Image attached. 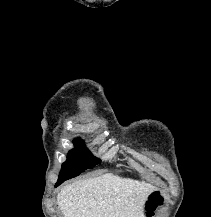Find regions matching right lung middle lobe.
I'll list each match as a JSON object with an SVG mask.
<instances>
[{
	"instance_id": "1",
	"label": "right lung middle lobe",
	"mask_w": 211,
	"mask_h": 217,
	"mask_svg": "<svg viewBox=\"0 0 211 217\" xmlns=\"http://www.w3.org/2000/svg\"><path fill=\"white\" fill-rule=\"evenodd\" d=\"M74 145L75 148L69 151L67 160L62 165L58 180L73 178L100 162L85 148L82 140H74Z\"/></svg>"
}]
</instances>
